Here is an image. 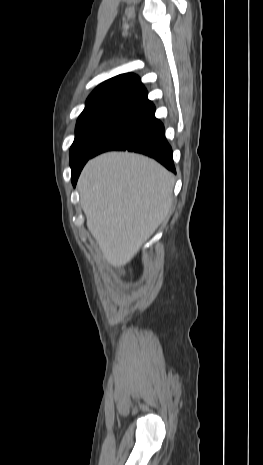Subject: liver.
Instances as JSON below:
<instances>
[{"instance_id":"obj_1","label":"liver","mask_w":263,"mask_h":465,"mask_svg":"<svg viewBox=\"0 0 263 465\" xmlns=\"http://www.w3.org/2000/svg\"><path fill=\"white\" fill-rule=\"evenodd\" d=\"M174 178L155 160L109 152L90 160L78 190L87 227L113 267L131 261L169 216Z\"/></svg>"}]
</instances>
